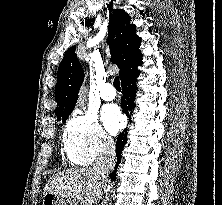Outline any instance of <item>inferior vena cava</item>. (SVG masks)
I'll return each mask as SVG.
<instances>
[{"instance_id": "1", "label": "inferior vena cava", "mask_w": 222, "mask_h": 205, "mask_svg": "<svg viewBox=\"0 0 222 205\" xmlns=\"http://www.w3.org/2000/svg\"><path fill=\"white\" fill-rule=\"evenodd\" d=\"M116 163L115 144L111 138L104 140L103 149L96 159L93 170L102 181L106 182L108 175Z\"/></svg>"}]
</instances>
